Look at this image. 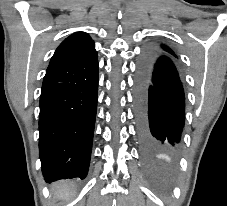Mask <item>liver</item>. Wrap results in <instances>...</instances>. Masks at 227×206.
<instances>
[{
	"instance_id": "liver-1",
	"label": "liver",
	"mask_w": 227,
	"mask_h": 206,
	"mask_svg": "<svg viewBox=\"0 0 227 206\" xmlns=\"http://www.w3.org/2000/svg\"><path fill=\"white\" fill-rule=\"evenodd\" d=\"M52 189L55 191L56 196L59 199L69 200L70 196L72 195V186L69 185L67 182H59L52 186Z\"/></svg>"
}]
</instances>
